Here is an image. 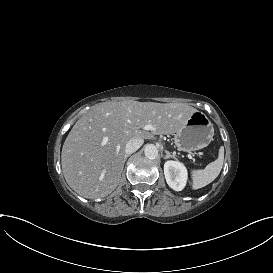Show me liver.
Returning <instances> with one entry per match:
<instances>
[{"instance_id":"6515ba94","label":"liver","mask_w":273,"mask_h":273,"mask_svg":"<svg viewBox=\"0 0 273 273\" xmlns=\"http://www.w3.org/2000/svg\"><path fill=\"white\" fill-rule=\"evenodd\" d=\"M197 111L184 103L126 100L94 105L64 142L61 164L66 182L88 199L109 195L119 184L130 139L173 134ZM149 124L151 133L144 130Z\"/></svg>"}]
</instances>
